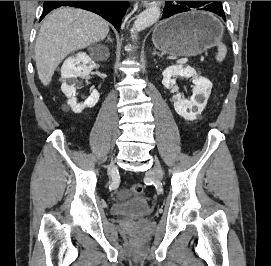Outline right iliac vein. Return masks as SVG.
Returning a JSON list of instances; mask_svg holds the SVG:
<instances>
[{"label":"right iliac vein","mask_w":271,"mask_h":266,"mask_svg":"<svg viewBox=\"0 0 271 266\" xmlns=\"http://www.w3.org/2000/svg\"><path fill=\"white\" fill-rule=\"evenodd\" d=\"M110 169H111V170H114V169H115V165H114V164H111V165H110Z\"/></svg>","instance_id":"right-iliac-vein-1"}]
</instances>
